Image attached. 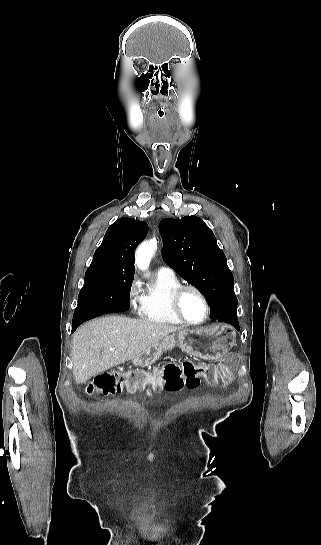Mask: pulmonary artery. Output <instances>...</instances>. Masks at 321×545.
<instances>
[{
	"mask_svg": "<svg viewBox=\"0 0 321 545\" xmlns=\"http://www.w3.org/2000/svg\"><path fill=\"white\" fill-rule=\"evenodd\" d=\"M157 271L168 275H175V271L168 265H160Z\"/></svg>",
	"mask_w": 321,
	"mask_h": 545,
	"instance_id": "pulmonary-artery-1",
	"label": "pulmonary artery"
}]
</instances>
